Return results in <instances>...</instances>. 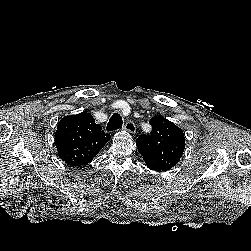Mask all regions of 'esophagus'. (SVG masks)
Instances as JSON below:
<instances>
[{
	"label": "esophagus",
	"mask_w": 251,
	"mask_h": 251,
	"mask_svg": "<svg viewBox=\"0 0 251 251\" xmlns=\"http://www.w3.org/2000/svg\"><path fill=\"white\" fill-rule=\"evenodd\" d=\"M124 130L134 135L136 130L135 124L132 121H127L126 124L124 125Z\"/></svg>",
	"instance_id": "34e87169"
}]
</instances>
